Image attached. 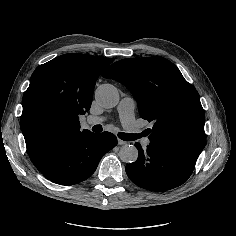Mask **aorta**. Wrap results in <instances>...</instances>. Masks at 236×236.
<instances>
[{
  "mask_svg": "<svg viewBox=\"0 0 236 236\" xmlns=\"http://www.w3.org/2000/svg\"><path fill=\"white\" fill-rule=\"evenodd\" d=\"M95 98L102 107L112 108L119 102V93L115 86L103 84L97 88ZM119 157L122 162L133 163L138 158V150L134 145L125 144L120 148Z\"/></svg>",
  "mask_w": 236,
  "mask_h": 236,
  "instance_id": "762f6f07",
  "label": "aorta"
}]
</instances>
